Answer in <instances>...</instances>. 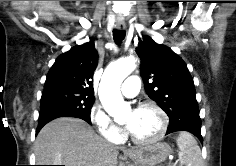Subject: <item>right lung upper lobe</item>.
<instances>
[{"mask_svg": "<svg viewBox=\"0 0 236 166\" xmlns=\"http://www.w3.org/2000/svg\"><path fill=\"white\" fill-rule=\"evenodd\" d=\"M98 63V53L92 41L77 45L57 57L48 72L43 93L66 91L94 96L92 77Z\"/></svg>", "mask_w": 236, "mask_h": 166, "instance_id": "1", "label": "right lung upper lobe"}]
</instances>
